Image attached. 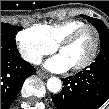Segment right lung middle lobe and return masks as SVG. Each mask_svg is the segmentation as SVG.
Wrapping results in <instances>:
<instances>
[{
    "instance_id": "dd1d6c3e",
    "label": "right lung middle lobe",
    "mask_w": 109,
    "mask_h": 109,
    "mask_svg": "<svg viewBox=\"0 0 109 109\" xmlns=\"http://www.w3.org/2000/svg\"><path fill=\"white\" fill-rule=\"evenodd\" d=\"M21 29V27L1 23V43L16 48L15 34Z\"/></svg>"
}]
</instances>
